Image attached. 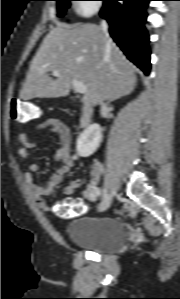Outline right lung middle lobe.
<instances>
[{"mask_svg":"<svg viewBox=\"0 0 180 299\" xmlns=\"http://www.w3.org/2000/svg\"><path fill=\"white\" fill-rule=\"evenodd\" d=\"M58 1V16L62 17L66 9L70 6V1L72 0H56Z\"/></svg>","mask_w":180,"mask_h":299,"instance_id":"dd1d6c3e","label":"right lung middle lobe"}]
</instances>
